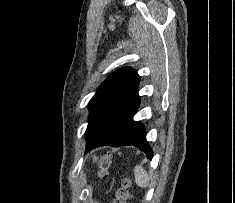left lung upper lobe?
Listing matches in <instances>:
<instances>
[{
    "label": "left lung upper lobe",
    "instance_id": "1",
    "mask_svg": "<svg viewBox=\"0 0 235 203\" xmlns=\"http://www.w3.org/2000/svg\"><path fill=\"white\" fill-rule=\"evenodd\" d=\"M140 77L130 68L111 73L89 102V123L85 132L86 149L104 132L130 96L136 91Z\"/></svg>",
    "mask_w": 235,
    "mask_h": 203
}]
</instances>
